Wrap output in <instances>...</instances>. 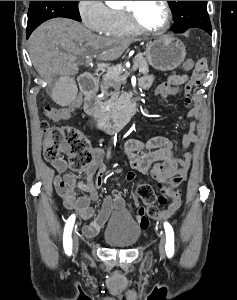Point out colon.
I'll list each match as a JSON object with an SVG mask.
<instances>
[{
  "mask_svg": "<svg viewBox=\"0 0 237 300\" xmlns=\"http://www.w3.org/2000/svg\"><path fill=\"white\" fill-rule=\"evenodd\" d=\"M195 61L188 59L183 63L185 70L194 67ZM170 86L167 84L160 85L157 94L167 95L170 92ZM46 114L52 112L51 108L46 109ZM41 129L44 133V157L53 161L57 157L66 153L69 157V169L79 171L85 168L92 161L93 154L89 140L73 126H51L48 122L41 123ZM186 174H175L162 181L160 187V195L156 197L152 186L148 183H138L136 186V194L145 205L146 214L151 218H158L160 215V206H164L168 198L172 201H179L180 196L175 188L185 181Z\"/></svg>",
  "mask_w": 237,
  "mask_h": 300,
  "instance_id": "5ec220e1",
  "label": "colon"
}]
</instances>
